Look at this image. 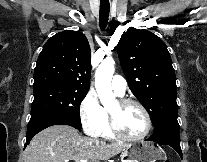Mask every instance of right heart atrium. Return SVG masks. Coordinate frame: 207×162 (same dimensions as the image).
I'll use <instances>...</instances> for the list:
<instances>
[{"label": "right heart atrium", "instance_id": "d8ad5b80", "mask_svg": "<svg viewBox=\"0 0 207 162\" xmlns=\"http://www.w3.org/2000/svg\"><path fill=\"white\" fill-rule=\"evenodd\" d=\"M79 119L86 134L100 136L106 123V114L94 91H88L79 106Z\"/></svg>", "mask_w": 207, "mask_h": 162}]
</instances>
